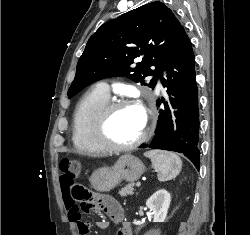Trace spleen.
<instances>
[{"label": "spleen", "mask_w": 250, "mask_h": 235, "mask_svg": "<svg viewBox=\"0 0 250 235\" xmlns=\"http://www.w3.org/2000/svg\"><path fill=\"white\" fill-rule=\"evenodd\" d=\"M144 156L151 160L152 166L157 172L158 180L161 182L174 179L181 171L182 160L175 153L150 150L145 152Z\"/></svg>", "instance_id": "1"}]
</instances>
